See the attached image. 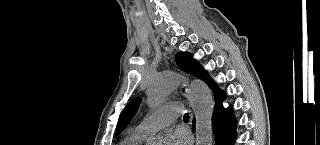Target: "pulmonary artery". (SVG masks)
<instances>
[{
  "label": "pulmonary artery",
  "mask_w": 320,
  "mask_h": 145,
  "mask_svg": "<svg viewBox=\"0 0 320 145\" xmlns=\"http://www.w3.org/2000/svg\"><path fill=\"white\" fill-rule=\"evenodd\" d=\"M182 111V104L179 102L166 104L138 124L135 130L145 136H152L159 129L171 124Z\"/></svg>",
  "instance_id": "pulmonary-artery-1"
}]
</instances>
